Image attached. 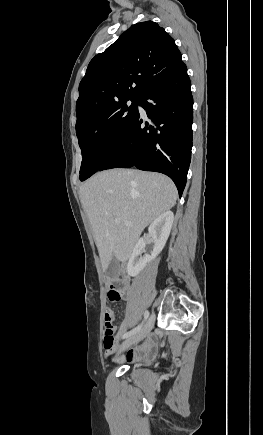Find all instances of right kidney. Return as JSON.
I'll return each instance as SVG.
<instances>
[{
  "mask_svg": "<svg viewBox=\"0 0 263 435\" xmlns=\"http://www.w3.org/2000/svg\"><path fill=\"white\" fill-rule=\"evenodd\" d=\"M174 222V214L171 211H166L159 215L149 226L148 231L154 242V248L151 255L142 254L145 252L146 241L141 238L129 258L127 272L130 276L135 277L142 271L148 263L154 260L164 248L166 241L170 235V231Z\"/></svg>",
  "mask_w": 263,
  "mask_h": 435,
  "instance_id": "1",
  "label": "right kidney"
}]
</instances>
